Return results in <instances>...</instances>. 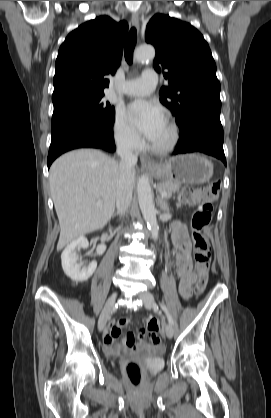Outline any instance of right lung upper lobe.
<instances>
[{
  "instance_id": "right-lung-upper-lobe-1",
  "label": "right lung upper lobe",
  "mask_w": 271,
  "mask_h": 418,
  "mask_svg": "<svg viewBox=\"0 0 271 418\" xmlns=\"http://www.w3.org/2000/svg\"><path fill=\"white\" fill-rule=\"evenodd\" d=\"M128 24L109 16L90 20L72 31L59 48L52 100L75 94L101 93L107 75L120 65Z\"/></svg>"
}]
</instances>
